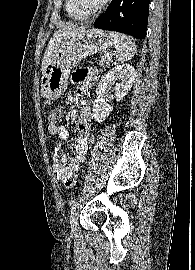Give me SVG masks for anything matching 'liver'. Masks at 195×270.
Segmentation results:
<instances>
[{
	"label": "liver",
	"mask_w": 195,
	"mask_h": 270,
	"mask_svg": "<svg viewBox=\"0 0 195 270\" xmlns=\"http://www.w3.org/2000/svg\"><path fill=\"white\" fill-rule=\"evenodd\" d=\"M85 29V26L80 27L74 24H68L54 32L44 53L41 66L42 74H44L48 65L58 57L60 50L64 47L65 38L73 36Z\"/></svg>",
	"instance_id": "1"
}]
</instances>
